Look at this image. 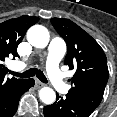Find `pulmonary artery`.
Listing matches in <instances>:
<instances>
[{"label": "pulmonary artery", "mask_w": 117, "mask_h": 117, "mask_svg": "<svg viewBox=\"0 0 117 117\" xmlns=\"http://www.w3.org/2000/svg\"><path fill=\"white\" fill-rule=\"evenodd\" d=\"M66 45L61 38H53L47 49L46 70L48 78L53 87L60 93H67L69 86L64 82L62 74L59 70V62L64 56ZM26 66L24 62H18L14 65V69L21 70Z\"/></svg>", "instance_id": "1"}]
</instances>
